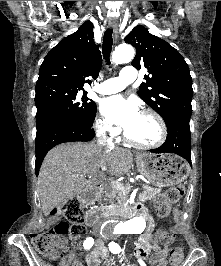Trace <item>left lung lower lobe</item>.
Instances as JSON below:
<instances>
[{
	"mask_svg": "<svg viewBox=\"0 0 221 266\" xmlns=\"http://www.w3.org/2000/svg\"><path fill=\"white\" fill-rule=\"evenodd\" d=\"M188 119H177L167 125L168 135L162 146L152 153H171L185 158L191 164V137Z\"/></svg>",
	"mask_w": 221,
	"mask_h": 266,
	"instance_id": "1",
	"label": "left lung lower lobe"
}]
</instances>
